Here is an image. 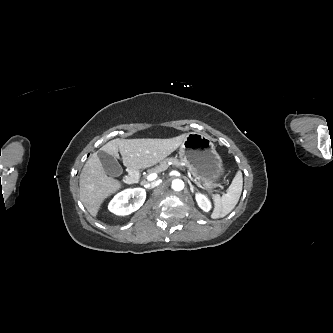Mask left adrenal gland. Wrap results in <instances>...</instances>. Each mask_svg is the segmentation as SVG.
I'll use <instances>...</instances> for the list:
<instances>
[{
	"label": "left adrenal gland",
	"mask_w": 333,
	"mask_h": 333,
	"mask_svg": "<svg viewBox=\"0 0 333 333\" xmlns=\"http://www.w3.org/2000/svg\"><path fill=\"white\" fill-rule=\"evenodd\" d=\"M188 184H189V186H190V190H191V192L194 193V190H195L196 188L192 185V183H191L190 180H188Z\"/></svg>",
	"instance_id": "1"
}]
</instances>
